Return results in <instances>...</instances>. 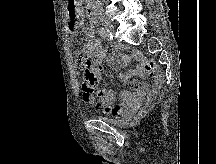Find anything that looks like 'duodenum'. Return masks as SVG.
Here are the masks:
<instances>
[{
    "label": "duodenum",
    "instance_id": "410a0bca",
    "mask_svg": "<svg viewBox=\"0 0 216 164\" xmlns=\"http://www.w3.org/2000/svg\"><path fill=\"white\" fill-rule=\"evenodd\" d=\"M77 0H69L68 1V9H76ZM88 8L90 10L92 19L94 20L95 13H96V5L94 4L93 0L88 4Z\"/></svg>",
    "mask_w": 216,
    "mask_h": 164
}]
</instances>
